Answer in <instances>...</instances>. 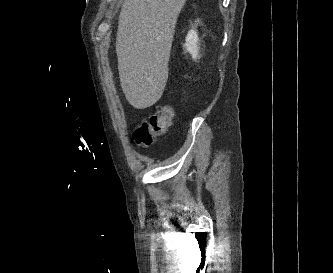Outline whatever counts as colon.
<instances>
[{"label": "colon", "mask_w": 333, "mask_h": 273, "mask_svg": "<svg viewBox=\"0 0 333 273\" xmlns=\"http://www.w3.org/2000/svg\"><path fill=\"white\" fill-rule=\"evenodd\" d=\"M174 118V110L168 104L159 105L156 112L146 121L138 125L134 131L136 143L142 147H148L154 143L157 137L164 135Z\"/></svg>", "instance_id": "5ec220e1"}]
</instances>
